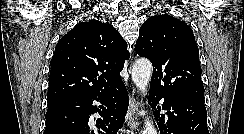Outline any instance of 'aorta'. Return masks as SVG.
I'll return each mask as SVG.
<instances>
[{
	"label": "aorta",
	"instance_id": "1",
	"mask_svg": "<svg viewBox=\"0 0 244 134\" xmlns=\"http://www.w3.org/2000/svg\"><path fill=\"white\" fill-rule=\"evenodd\" d=\"M152 75V64L148 59H138L132 67V80L142 94H147V88ZM142 134H157L151 120L145 121Z\"/></svg>",
	"mask_w": 244,
	"mask_h": 134
}]
</instances>
